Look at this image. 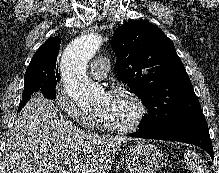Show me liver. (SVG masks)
<instances>
[{
    "mask_svg": "<svg viewBox=\"0 0 219 173\" xmlns=\"http://www.w3.org/2000/svg\"><path fill=\"white\" fill-rule=\"evenodd\" d=\"M127 140L84 132L50 100L34 96L7 139L4 173H108L111 154Z\"/></svg>",
    "mask_w": 219,
    "mask_h": 173,
    "instance_id": "liver-1",
    "label": "liver"
}]
</instances>
